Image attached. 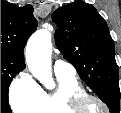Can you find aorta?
I'll list each match as a JSON object with an SVG mask.
<instances>
[{
  "mask_svg": "<svg viewBox=\"0 0 121 113\" xmlns=\"http://www.w3.org/2000/svg\"><path fill=\"white\" fill-rule=\"evenodd\" d=\"M51 53V33L47 29L36 31L28 40L26 61L32 75L47 87L53 86Z\"/></svg>",
  "mask_w": 121,
  "mask_h": 113,
  "instance_id": "aorta-1",
  "label": "aorta"
}]
</instances>
